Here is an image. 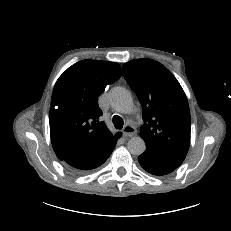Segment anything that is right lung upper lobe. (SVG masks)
<instances>
[{
    "label": "right lung upper lobe",
    "mask_w": 231,
    "mask_h": 231,
    "mask_svg": "<svg viewBox=\"0 0 231 231\" xmlns=\"http://www.w3.org/2000/svg\"><path fill=\"white\" fill-rule=\"evenodd\" d=\"M121 77L116 62L82 60L69 67L57 80L51 98L50 136L59 159L95 152L116 135L100 120L98 97L106 85Z\"/></svg>",
    "instance_id": "1"
}]
</instances>
